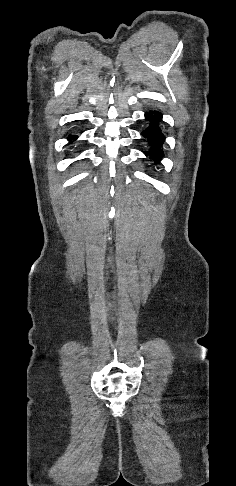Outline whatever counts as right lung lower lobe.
I'll list each match as a JSON object with an SVG mask.
<instances>
[{
  "instance_id": "1",
  "label": "right lung lower lobe",
  "mask_w": 236,
  "mask_h": 486,
  "mask_svg": "<svg viewBox=\"0 0 236 486\" xmlns=\"http://www.w3.org/2000/svg\"><path fill=\"white\" fill-rule=\"evenodd\" d=\"M77 138L76 135H69L68 140L71 142L72 140H75Z\"/></svg>"
}]
</instances>
